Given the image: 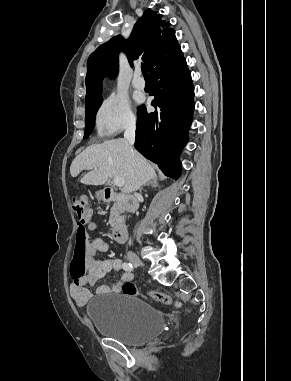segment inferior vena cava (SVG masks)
<instances>
[{"label": "inferior vena cava", "instance_id": "inferior-vena-cava-1", "mask_svg": "<svg viewBox=\"0 0 291 381\" xmlns=\"http://www.w3.org/2000/svg\"><path fill=\"white\" fill-rule=\"evenodd\" d=\"M135 131L136 125L135 123H130L125 130L124 138L128 141V143L132 146L135 142Z\"/></svg>", "mask_w": 291, "mask_h": 381}]
</instances>
